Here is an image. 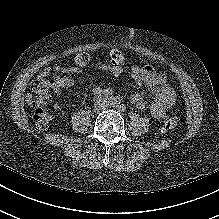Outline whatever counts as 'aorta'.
<instances>
[{"label": "aorta", "mask_w": 219, "mask_h": 219, "mask_svg": "<svg viewBox=\"0 0 219 219\" xmlns=\"http://www.w3.org/2000/svg\"><path fill=\"white\" fill-rule=\"evenodd\" d=\"M121 103V99L120 97L118 96H113L110 98V104L113 106V107H118Z\"/></svg>", "instance_id": "1"}]
</instances>
